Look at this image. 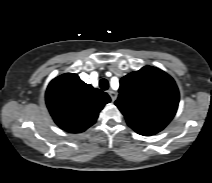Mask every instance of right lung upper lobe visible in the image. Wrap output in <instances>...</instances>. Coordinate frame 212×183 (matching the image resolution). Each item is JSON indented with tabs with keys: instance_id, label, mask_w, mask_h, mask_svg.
I'll list each match as a JSON object with an SVG mask.
<instances>
[{
	"instance_id": "cb5924a9",
	"label": "right lung upper lobe",
	"mask_w": 212,
	"mask_h": 183,
	"mask_svg": "<svg viewBox=\"0 0 212 183\" xmlns=\"http://www.w3.org/2000/svg\"><path fill=\"white\" fill-rule=\"evenodd\" d=\"M109 102L105 92L72 73L53 79L46 91V104L55 123L71 133H80L92 126Z\"/></svg>"
}]
</instances>
